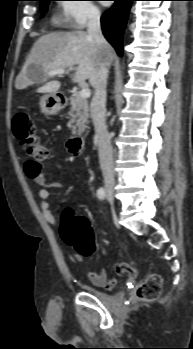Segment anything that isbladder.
Listing matches in <instances>:
<instances>
[{
  "label": "bladder",
  "mask_w": 193,
  "mask_h": 349,
  "mask_svg": "<svg viewBox=\"0 0 193 349\" xmlns=\"http://www.w3.org/2000/svg\"><path fill=\"white\" fill-rule=\"evenodd\" d=\"M87 291L101 301H106L109 298L108 294L105 291L95 287H89Z\"/></svg>",
  "instance_id": "obj_1"
}]
</instances>
